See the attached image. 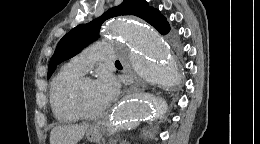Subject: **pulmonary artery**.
I'll list each match as a JSON object with an SVG mask.
<instances>
[{"mask_svg": "<svg viewBox=\"0 0 260 144\" xmlns=\"http://www.w3.org/2000/svg\"><path fill=\"white\" fill-rule=\"evenodd\" d=\"M116 58L117 55L112 45L108 43H98L74 56L71 60V64L85 74L90 71L97 62H112Z\"/></svg>", "mask_w": 260, "mask_h": 144, "instance_id": "pulmonary-artery-1", "label": "pulmonary artery"}]
</instances>
